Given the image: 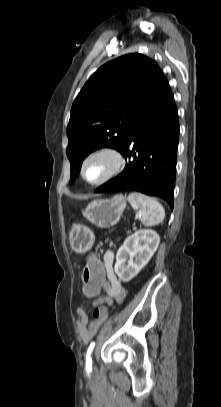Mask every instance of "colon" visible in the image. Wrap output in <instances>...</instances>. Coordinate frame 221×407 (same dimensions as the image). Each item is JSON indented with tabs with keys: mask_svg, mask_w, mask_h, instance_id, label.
I'll list each match as a JSON object with an SVG mask.
<instances>
[{
	"mask_svg": "<svg viewBox=\"0 0 221 407\" xmlns=\"http://www.w3.org/2000/svg\"><path fill=\"white\" fill-rule=\"evenodd\" d=\"M106 267L103 258H99L96 252L90 255V258L85 262V270L82 273V283L84 297L87 300H94L95 292H104V286L107 284ZM108 305L97 306L94 309V316L98 318H106L109 313Z\"/></svg>",
	"mask_w": 221,
	"mask_h": 407,
	"instance_id": "obj_1",
	"label": "colon"
}]
</instances>
